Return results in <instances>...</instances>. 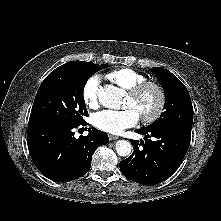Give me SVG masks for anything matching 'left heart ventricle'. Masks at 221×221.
Masks as SVG:
<instances>
[{
  "label": "left heart ventricle",
  "mask_w": 221,
  "mask_h": 221,
  "mask_svg": "<svg viewBox=\"0 0 221 221\" xmlns=\"http://www.w3.org/2000/svg\"><path fill=\"white\" fill-rule=\"evenodd\" d=\"M158 103L157 93L153 89L147 90L137 99L127 97L125 107H131L136 110L139 116H147L154 112Z\"/></svg>",
  "instance_id": "left-heart-ventricle-1"
}]
</instances>
